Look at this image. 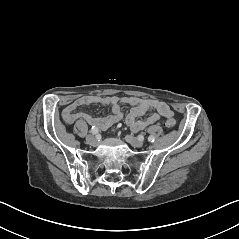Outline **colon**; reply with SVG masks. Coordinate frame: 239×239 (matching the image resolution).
<instances>
[{
  "label": "colon",
  "mask_w": 239,
  "mask_h": 239,
  "mask_svg": "<svg viewBox=\"0 0 239 239\" xmlns=\"http://www.w3.org/2000/svg\"><path fill=\"white\" fill-rule=\"evenodd\" d=\"M175 124H176V121H175V119H173V118L167 119V120L165 121V126H166L167 128H173V127L175 126Z\"/></svg>",
  "instance_id": "5ec220e1"
}]
</instances>
